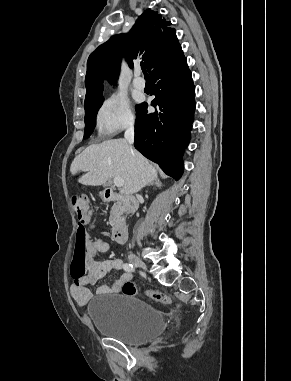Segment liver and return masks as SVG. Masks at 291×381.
Listing matches in <instances>:
<instances>
[{
  "instance_id": "6515ba94",
  "label": "liver",
  "mask_w": 291,
  "mask_h": 381,
  "mask_svg": "<svg viewBox=\"0 0 291 381\" xmlns=\"http://www.w3.org/2000/svg\"><path fill=\"white\" fill-rule=\"evenodd\" d=\"M87 172L78 182L99 186L120 177L124 185L121 194L132 195L157 179L155 167L125 139H112L90 145L73 160L70 172Z\"/></svg>"
}]
</instances>
